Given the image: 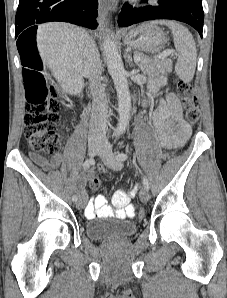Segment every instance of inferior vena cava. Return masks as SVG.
I'll return each instance as SVG.
<instances>
[{
  "instance_id": "602c4592",
  "label": "inferior vena cava",
  "mask_w": 227,
  "mask_h": 298,
  "mask_svg": "<svg viewBox=\"0 0 227 298\" xmlns=\"http://www.w3.org/2000/svg\"><path fill=\"white\" fill-rule=\"evenodd\" d=\"M83 63L84 73L89 78L93 98L89 139L102 142L105 140L108 122L107 97L105 88L100 81L102 73L100 54L95 41L91 38L88 39L84 50Z\"/></svg>"
}]
</instances>
